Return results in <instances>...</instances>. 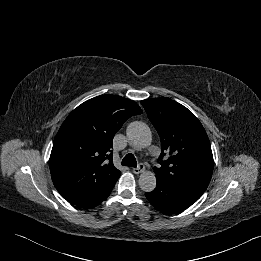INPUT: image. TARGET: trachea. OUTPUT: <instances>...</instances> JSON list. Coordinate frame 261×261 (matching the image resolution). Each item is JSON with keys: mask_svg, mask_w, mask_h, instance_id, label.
Listing matches in <instances>:
<instances>
[{"mask_svg": "<svg viewBox=\"0 0 261 261\" xmlns=\"http://www.w3.org/2000/svg\"><path fill=\"white\" fill-rule=\"evenodd\" d=\"M121 164L124 165V166H130V167H134V168L137 167L136 158H135L134 155L131 154V153L127 154V155L123 158Z\"/></svg>", "mask_w": 261, "mask_h": 261, "instance_id": "3493384b", "label": "trachea"}]
</instances>
